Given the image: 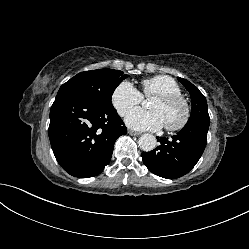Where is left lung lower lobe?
I'll use <instances>...</instances> for the list:
<instances>
[{
  "mask_svg": "<svg viewBox=\"0 0 249 249\" xmlns=\"http://www.w3.org/2000/svg\"><path fill=\"white\" fill-rule=\"evenodd\" d=\"M209 124L210 118H199L187 122L172 139L157 137L160 146L142 153L144 164L155 175L167 179L187 174L205 149Z\"/></svg>",
  "mask_w": 249,
  "mask_h": 249,
  "instance_id": "1",
  "label": "left lung lower lobe"
}]
</instances>
